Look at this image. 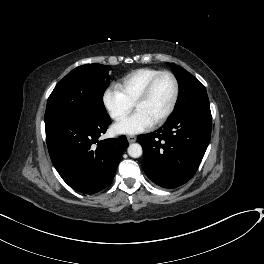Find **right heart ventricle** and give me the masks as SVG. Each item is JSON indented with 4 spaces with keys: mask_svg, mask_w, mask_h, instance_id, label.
Wrapping results in <instances>:
<instances>
[{
    "mask_svg": "<svg viewBox=\"0 0 264 264\" xmlns=\"http://www.w3.org/2000/svg\"><path fill=\"white\" fill-rule=\"evenodd\" d=\"M161 72L154 68H141L131 71L125 75L118 87L125 94L131 103H134L149 80Z\"/></svg>",
    "mask_w": 264,
    "mask_h": 264,
    "instance_id": "right-heart-ventricle-1",
    "label": "right heart ventricle"
}]
</instances>
